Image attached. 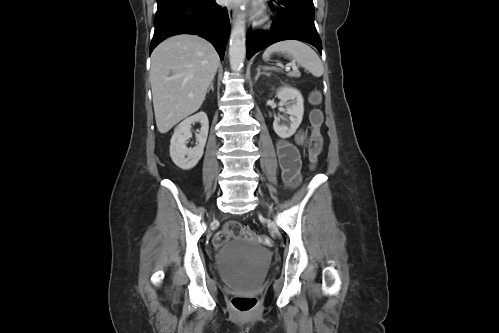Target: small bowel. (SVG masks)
Listing matches in <instances>:
<instances>
[{"instance_id":"small-bowel-1","label":"small bowel","mask_w":499,"mask_h":333,"mask_svg":"<svg viewBox=\"0 0 499 333\" xmlns=\"http://www.w3.org/2000/svg\"><path fill=\"white\" fill-rule=\"evenodd\" d=\"M309 138L303 129L297 131L294 143L285 139L276 142V151L282 169L283 180L295 188L301 180V157L298 146H307Z\"/></svg>"}]
</instances>
